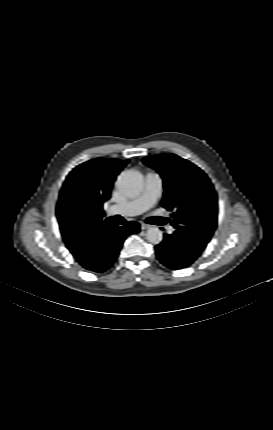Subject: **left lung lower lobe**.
I'll list each match as a JSON object with an SVG mask.
<instances>
[{
  "mask_svg": "<svg viewBox=\"0 0 273 430\" xmlns=\"http://www.w3.org/2000/svg\"><path fill=\"white\" fill-rule=\"evenodd\" d=\"M155 249L159 261L173 270L191 265L203 251L181 236L178 231L165 234L163 241L155 246Z\"/></svg>",
  "mask_w": 273,
  "mask_h": 430,
  "instance_id": "1",
  "label": "left lung lower lobe"
}]
</instances>
